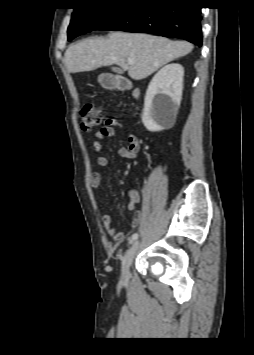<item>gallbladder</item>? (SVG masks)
<instances>
[{
    "mask_svg": "<svg viewBox=\"0 0 254 355\" xmlns=\"http://www.w3.org/2000/svg\"><path fill=\"white\" fill-rule=\"evenodd\" d=\"M112 70L114 72L121 73V69L120 68L114 67V68H112Z\"/></svg>",
    "mask_w": 254,
    "mask_h": 355,
    "instance_id": "obj_1",
    "label": "gallbladder"
}]
</instances>
